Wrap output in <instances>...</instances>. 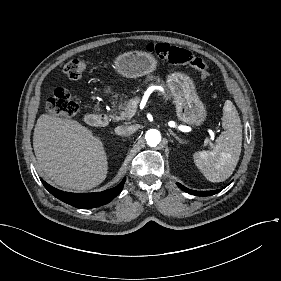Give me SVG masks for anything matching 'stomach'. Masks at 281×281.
I'll list each match as a JSON object with an SVG mask.
<instances>
[{
  "label": "stomach",
  "instance_id": "obj_1",
  "mask_svg": "<svg viewBox=\"0 0 281 281\" xmlns=\"http://www.w3.org/2000/svg\"><path fill=\"white\" fill-rule=\"evenodd\" d=\"M114 66L122 76L137 78L153 72L157 60L150 53L130 51L117 56ZM167 84L179 120L193 126H200L205 121L207 112L197 95L193 80L185 73L174 72L168 75ZM105 92L109 93L110 89L107 88Z\"/></svg>",
  "mask_w": 281,
  "mask_h": 281
}]
</instances>
